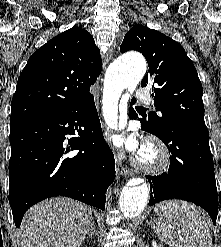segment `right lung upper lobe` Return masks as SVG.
Returning <instances> with one entry per match:
<instances>
[{
  "mask_svg": "<svg viewBox=\"0 0 221 247\" xmlns=\"http://www.w3.org/2000/svg\"><path fill=\"white\" fill-rule=\"evenodd\" d=\"M89 32L73 27L52 38L29 59L11 102L10 124L67 114L93 96L102 69Z\"/></svg>",
  "mask_w": 221,
  "mask_h": 247,
  "instance_id": "1",
  "label": "right lung upper lobe"
}]
</instances>
